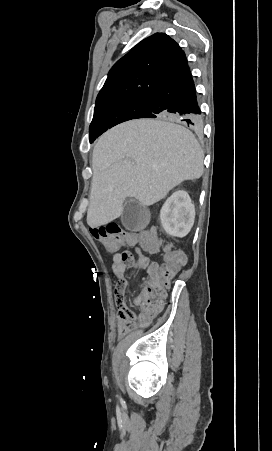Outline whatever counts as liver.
Segmentation results:
<instances>
[{"instance_id": "6515ba94", "label": "liver", "mask_w": 272, "mask_h": 451, "mask_svg": "<svg viewBox=\"0 0 272 451\" xmlns=\"http://www.w3.org/2000/svg\"><path fill=\"white\" fill-rule=\"evenodd\" d=\"M175 116L130 120L97 140L87 224L104 226L123 214L126 198L152 206L184 180L203 174V150Z\"/></svg>"}]
</instances>
